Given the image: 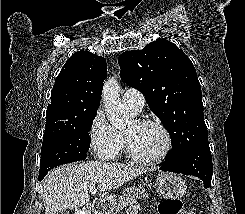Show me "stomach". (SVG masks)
I'll use <instances>...</instances> for the list:
<instances>
[{
	"label": "stomach",
	"instance_id": "stomach-1",
	"mask_svg": "<svg viewBox=\"0 0 245 214\" xmlns=\"http://www.w3.org/2000/svg\"><path fill=\"white\" fill-rule=\"evenodd\" d=\"M156 192L167 199H178L182 197L187 189L184 180L174 173H160L154 179ZM115 200L112 199L110 204Z\"/></svg>",
	"mask_w": 245,
	"mask_h": 214
}]
</instances>
